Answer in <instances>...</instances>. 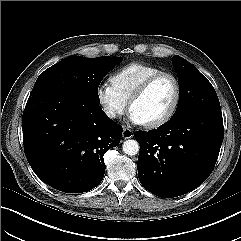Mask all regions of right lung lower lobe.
<instances>
[{
	"label": "right lung lower lobe",
	"instance_id": "98d812e1",
	"mask_svg": "<svg viewBox=\"0 0 241 241\" xmlns=\"http://www.w3.org/2000/svg\"><path fill=\"white\" fill-rule=\"evenodd\" d=\"M26 158L36 175L65 193H82L103 179L107 150L122 127L99 105L61 89L30 95L22 117Z\"/></svg>",
	"mask_w": 241,
	"mask_h": 241
}]
</instances>
